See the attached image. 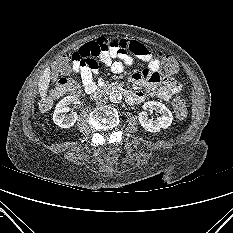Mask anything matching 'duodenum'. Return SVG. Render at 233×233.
Masks as SVG:
<instances>
[{
    "instance_id": "410a0bca",
    "label": "duodenum",
    "mask_w": 233,
    "mask_h": 233,
    "mask_svg": "<svg viewBox=\"0 0 233 233\" xmlns=\"http://www.w3.org/2000/svg\"><path fill=\"white\" fill-rule=\"evenodd\" d=\"M121 91L122 93H124L126 96L128 94L127 91H125L124 89L115 86V85H109V84H102L100 86H98L95 91L93 92L95 95H105V94H110L114 91Z\"/></svg>"
}]
</instances>
